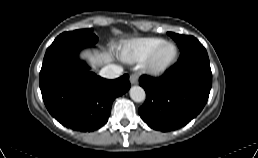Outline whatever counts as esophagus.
<instances>
[{"mask_svg": "<svg viewBox=\"0 0 258 158\" xmlns=\"http://www.w3.org/2000/svg\"><path fill=\"white\" fill-rule=\"evenodd\" d=\"M130 83L131 84H137L138 83V75L137 74H131L130 75Z\"/></svg>", "mask_w": 258, "mask_h": 158, "instance_id": "esophagus-1", "label": "esophagus"}]
</instances>
